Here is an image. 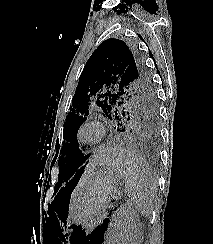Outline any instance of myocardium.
<instances>
[{"mask_svg": "<svg viewBox=\"0 0 213 244\" xmlns=\"http://www.w3.org/2000/svg\"><path fill=\"white\" fill-rule=\"evenodd\" d=\"M94 128L97 131L96 137L88 139L84 136L86 130ZM106 136V126L98 119H88L84 121L78 128L77 138L81 143L95 145L100 143Z\"/></svg>", "mask_w": 213, "mask_h": 244, "instance_id": "myocardium-1", "label": "myocardium"}]
</instances>
